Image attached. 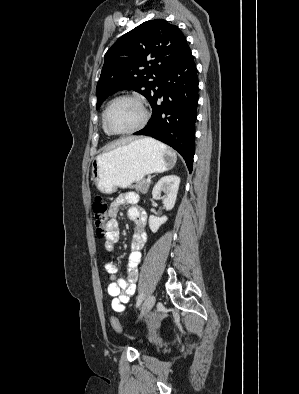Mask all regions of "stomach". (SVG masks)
<instances>
[{
    "label": "stomach",
    "instance_id": "0dacf381",
    "mask_svg": "<svg viewBox=\"0 0 299 394\" xmlns=\"http://www.w3.org/2000/svg\"><path fill=\"white\" fill-rule=\"evenodd\" d=\"M176 160V154L164 145L150 138L138 139L96 157L91 180L99 191L109 194L140 182L148 174L172 169Z\"/></svg>",
    "mask_w": 299,
    "mask_h": 394
}]
</instances>
